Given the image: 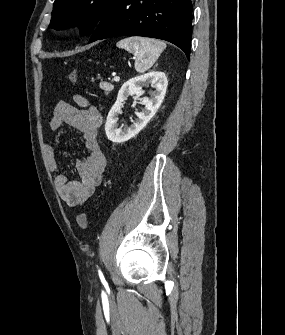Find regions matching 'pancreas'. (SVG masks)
Instances as JSON below:
<instances>
[{"mask_svg":"<svg viewBox=\"0 0 285 335\" xmlns=\"http://www.w3.org/2000/svg\"><path fill=\"white\" fill-rule=\"evenodd\" d=\"M99 88H101V90H104V94H110V92H112L114 86L113 84H109V82H100L99 84Z\"/></svg>","mask_w":285,"mask_h":335,"instance_id":"1","label":"pancreas"}]
</instances>
